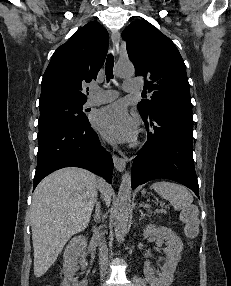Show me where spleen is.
<instances>
[{
  "label": "spleen",
  "mask_w": 231,
  "mask_h": 286,
  "mask_svg": "<svg viewBox=\"0 0 231 286\" xmlns=\"http://www.w3.org/2000/svg\"><path fill=\"white\" fill-rule=\"evenodd\" d=\"M150 188L169 201L177 211L189 207L193 202V196L188 189L177 183L157 181Z\"/></svg>",
  "instance_id": "spleen-1"
}]
</instances>
